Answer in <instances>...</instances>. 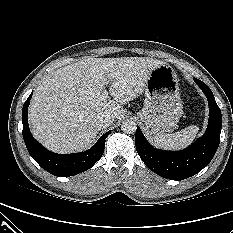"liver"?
I'll return each mask as SVG.
<instances>
[{
  "instance_id": "liver-1",
  "label": "liver",
  "mask_w": 233,
  "mask_h": 233,
  "mask_svg": "<svg viewBox=\"0 0 233 233\" xmlns=\"http://www.w3.org/2000/svg\"><path fill=\"white\" fill-rule=\"evenodd\" d=\"M164 64L148 57L84 58L45 76L35 88L28 118L33 136L58 153L84 150L94 142L98 115L123 117V104L143 91L150 72ZM109 86L113 100H102Z\"/></svg>"
}]
</instances>
